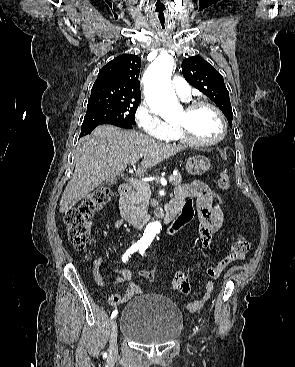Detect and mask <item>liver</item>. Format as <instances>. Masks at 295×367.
Instances as JSON below:
<instances>
[{"instance_id":"1","label":"liver","mask_w":295,"mask_h":367,"mask_svg":"<svg viewBox=\"0 0 295 367\" xmlns=\"http://www.w3.org/2000/svg\"><path fill=\"white\" fill-rule=\"evenodd\" d=\"M183 150L157 142L137 131H126L112 125H101L82 137L75 151V170L60 201V212H66L101 183L121 175L134 160L142 157L136 174ZM136 161V162H137Z\"/></svg>"}]
</instances>
